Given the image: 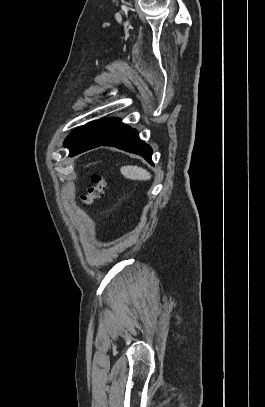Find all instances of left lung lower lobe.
<instances>
[{
	"mask_svg": "<svg viewBox=\"0 0 265 407\" xmlns=\"http://www.w3.org/2000/svg\"><path fill=\"white\" fill-rule=\"evenodd\" d=\"M113 146L124 151L138 154L142 156L145 160L149 163H152V148L143 142L136 131V129H131L130 127L121 132L120 134L116 135L115 137L109 139L104 143H99L96 145H92L88 148H83L79 150L70 151L69 156H75L81 152L99 147V146Z\"/></svg>",
	"mask_w": 265,
	"mask_h": 407,
	"instance_id": "obj_1",
	"label": "left lung lower lobe"
}]
</instances>
